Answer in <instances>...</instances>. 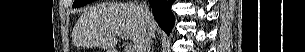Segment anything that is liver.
Wrapping results in <instances>:
<instances>
[{
  "instance_id": "liver-1",
  "label": "liver",
  "mask_w": 305,
  "mask_h": 52,
  "mask_svg": "<svg viewBox=\"0 0 305 52\" xmlns=\"http://www.w3.org/2000/svg\"><path fill=\"white\" fill-rule=\"evenodd\" d=\"M151 26L157 29L153 17ZM76 29L91 45L109 49L116 45L118 33L129 36L136 47L145 31L138 6L131 3L90 7L78 19Z\"/></svg>"
}]
</instances>
